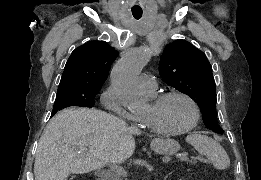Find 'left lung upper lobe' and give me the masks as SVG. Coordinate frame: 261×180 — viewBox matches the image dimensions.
<instances>
[{
    "mask_svg": "<svg viewBox=\"0 0 261 180\" xmlns=\"http://www.w3.org/2000/svg\"><path fill=\"white\" fill-rule=\"evenodd\" d=\"M162 79L198 103L204 124L223 133L217 123L216 89L212 67L205 54L188 41L178 39L166 45L159 63Z\"/></svg>",
    "mask_w": 261,
    "mask_h": 180,
    "instance_id": "1",
    "label": "left lung upper lobe"
}]
</instances>
